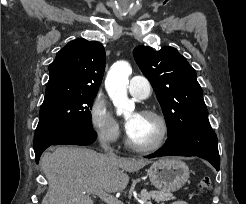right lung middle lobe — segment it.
<instances>
[{
  "label": "right lung middle lobe",
  "mask_w": 246,
  "mask_h": 204,
  "mask_svg": "<svg viewBox=\"0 0 246 204\" xmlns=\"http://www.w3.org/2000/svg\"><path fill=\"white\" fill-rule=\"evenodd\" d=\"M97 94H69L44 101L34 136V146L54 141L77 129H92L91 112Z\"/></svg>",
  "instance_id": "dd1d6c3e"
}]
</instances>
